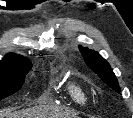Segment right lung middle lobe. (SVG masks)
I'll use <instances>...</instances> for the list:
<instances>
[{
    "label": "right lung middle lobe",
    "mask_w": 133,
    "mask_h": 118,
    "mask_svg": "<svg viewBox=\"0 0 133 118\" xmlns=\"http://www.w3.org/2000/svg\"><path fill=\"white\" fill-rule=\"evenodd\" d=\"M32 66L0 69V100L19 91Z\"/></svg>",
    "instance_id": "dd1d6c3e"
}]
</instances>
